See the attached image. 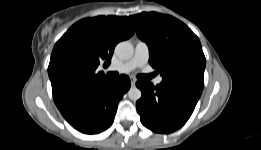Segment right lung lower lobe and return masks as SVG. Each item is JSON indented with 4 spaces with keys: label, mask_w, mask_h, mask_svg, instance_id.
Returning <instances> with one entry per match:
<instances>
[{
    "label": "right lung lower lobe",
    "mask_w": 261,
    "mask_h": 150,
    "mask_svg": "<svg viewBox=\"0 0 261 150\" xmlns=\"http://www.w3.org/2000/svg\"><path fill=\"white\" fill-rule=\"evenodd\" d=\"M130 85L129 77L121 75L91 92L75 97L59 110L78 131L86 134L102 132L112 125L118 103Z\"/></svg>",
    "instance_id": "obj_1"
}]
</instances>
